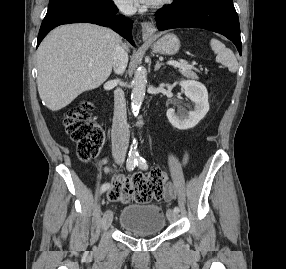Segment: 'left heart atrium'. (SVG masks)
<instances>
[{
	"label": "left heart atrium",
	"mask_w": 286,
	"mask_h": 269,
	"mask_svg": "<svg viewBox=\"0 0 286 269\" xmlns=\"http://www.w3.org/2000/svg\"><path fill=\"white\" fill-rule=\"evenodd\" d=\"M157 0H129V2L137 4V5H152L156 2Z\"/></svg>",
	"instance_id": "39dd6f15"
}]
</instances>
